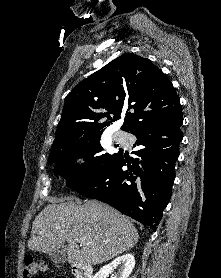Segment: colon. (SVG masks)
<instances>
[{"instance_id": "obj_1", "label": "colon", "mask_w": 221, "mask_h": 278, "mask_svg": "<svg viewBox=\"0 0 221 278\" xmlns=\"http://www.w3.org/2000/svg\"><path fill=\"white\" fill-rule=\"evenodd\" d=\"M46 267L43 263L39 262L31 256H27L23 262V275L24 278H42L41 273L45 271ZM54 278H66L63 275L55 276Z\"/></svg>"}]
</instances>
